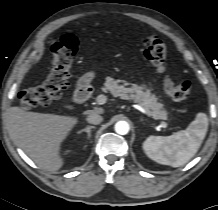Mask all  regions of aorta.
I'll list each match as a JSON object with an SVG mask.
<instances>
[{
	"label": "aorta",
	"instance_id": "762f6f07",
	"mask_svg": "<svg viewBox=\"0 0 218 210\" xmlns=\"http://www.w3.org/2000/svg\"><path fill=\"white\" fill-rule=\"evenodd\" d=\"M115 131L120 135H125L129 132V124L126 121H118L115 124Z\"/></svg>",
	"mask_w": 218,
	"mask_h": 210
}]
</instances>
